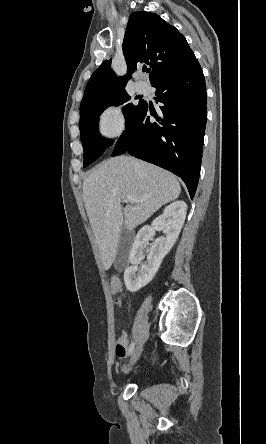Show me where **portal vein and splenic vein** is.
I'll return each mask as SVG.
<instances>
[{
	"label": "portal vein and splenic vein",
	"mask_w": 266,
	"mask_h": 444,
	"mask_svg": "<svg viewBox=\"0 0 266 444\" xmlns=\"http://www.w3.org/2000/svg\"><path fill=\"white\" fill-rule=\"evenodd\" d=\"M125 200H126L127 202H130V203L137 202V200L134 199V198H133L132 196H130V195H127V196L125 197Z\"/></svg>",
	"instance_id": "18ae733b"
}]
</instances>
